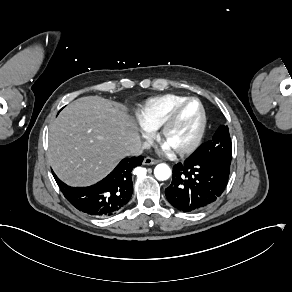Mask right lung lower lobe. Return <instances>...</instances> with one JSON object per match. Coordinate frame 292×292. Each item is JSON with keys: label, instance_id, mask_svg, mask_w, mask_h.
Masks as SVG:
<instances>
[{"label": "right lung lower lobe", "instance_id": "98d812e1", "mask_svg": "<svg viewBox=\"0 0 292 292\" xmlns=\"http://www.w3.org/2000/svg\"><path fill=\"white\" fill-rule=\"evenodd\" d=\"M143 156L125 158L100 182L88 187H71L53 172L65 198L78 210L94 217L115 214L129 202L132 192L133 168L140 166Z\"/></svg>", "mask_w": 292, "mask_h": 292}]
</instances>
